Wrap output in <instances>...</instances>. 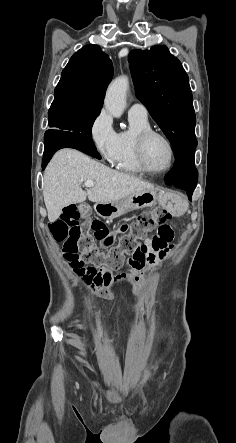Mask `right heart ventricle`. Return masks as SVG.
I'll use <instances>...</instances> for the list:
<instances>
[{"label":"right heart ventricle","instance_id":"obj_1","mask_svg":"<svg viewBox=\"0 0 236 443\" xmlns=\"http://www.w3.org/2000/svg\"><path fill=\"white\" fill-rule=\"evenodd\" d=\"M130 127L118 133V154L113 162L121 171L139 174L143 171L137 164L135 156V138L137 134L151 128L148 118L129 116Z\"/></svg>","mask_w":236,"mask_h":443}]
</instances>
